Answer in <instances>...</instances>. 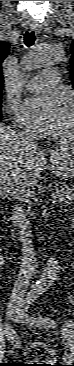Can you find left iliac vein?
Here are the masks:
<instances>
[{
    "instance_id": "4c4485c4",
    "label": "left iliac vein",
    "mask_w": 74,
    "mask_h": 366,
    "mask_svg": "<svg viewBox=\"0 0 74 366\" xmlns=\"http://www.w3.org/2000/svg\"><path fill=\"white\" fill-rule=\"evenodd\" d=\"M20 316H19V319H18V321H20V322H22V323H26V320H25V318H24V312L22 311V312H20V314H19ZM70 355H65V357H64V359L65 360H70Z\"/></svg>"
}]
</instances>
